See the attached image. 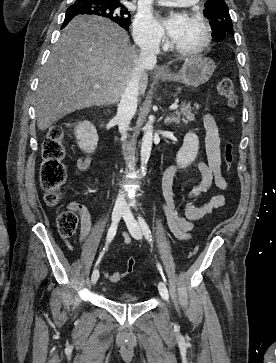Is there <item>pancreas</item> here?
<instances>
[{"instance_id":"1","label":"pancreas","mask_w":276,"mask_h":363,"mask_svg":"<svg viewBox=\"0 0 276 363\" xmlns=\"http://www.w3.org/2000/svg\"><path fill=\"white\" fill-rule=\"evenodd\" d=\"M200 108V105L195 104L194 108H191V104L190 103H186V102H181L180 104V110L175 112L176 115V119L178 120V122L180 120H182L184 123H187L189 121H194L195 120V115L192 112L194 109L198 110ZM181 116H183L181 118Z\"/></svg>"}]
</instances>
